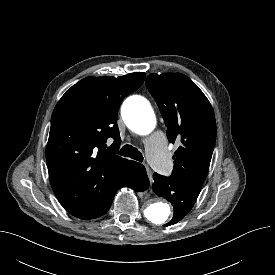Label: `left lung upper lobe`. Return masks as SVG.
<instances>
[{
  "mask_svg": "<svg viewBox=\"0 0 275 275\" xmlns=\"http://www.w3.org/2000/svg\"><path fill=\"white\" fill-rule=\"evenodd\" d=\"M146 85L158 104L170 143L179 144L171 176L202 186L216 139L210 102L189 77L180 73L150 74Z\"/></svg>",
  "mask_w": 275,
  "mask_h": 275,
  "instance_id": "left-lung-upper-lobe-1",
  "label": "left lung upper lobe"
}]
</instances>
